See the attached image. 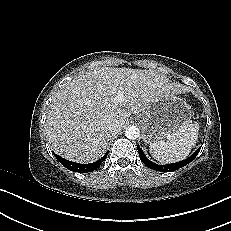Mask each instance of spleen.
Segmentation results:
<instances>
[{
  "label": "spleen",
  "mask_w": 231,
  "mask_h": 231,
  "mask_svg": "<svg viewBox=\"0 0 231 231\" xmlns=\"http://www.w3.org/2000/svg\"><path fill=\"white\" fill-rule=\"evenodd\" d=\"M199 133L197 123L182 126L167 136L166 140L156 141L149 146L154 159L161 163H173L184 160L195 146Z\"/></svg>",
  "instance_id": "obj_1"
}]
</instances>
